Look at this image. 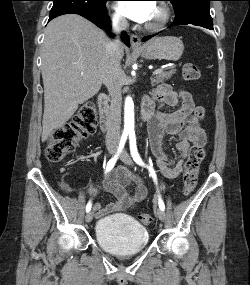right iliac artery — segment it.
<instances>
[{"mask_svg":"<svg viewBox=\"0 0 250 285\" xmlns=\"http://www.w3.org/2000/svg\"><path fill=\"white\" fill-rule=\"evenodd\" d=\"M126 139H127V134H123L122 137H121L120 143H119L118 151L114 155V157H112L109 160V162L107 163L105 173H108L109 171H111L113 169V167L115 166V163H116V161L118 159V156H119V154L122 152V150L124 148ZM91 206H92L91 201H89L88 204L86 205V212H89L91 210Z\"/></svg>","mask_w":250,"mask_h":285,"instance_id":"obj_1","label":"right iliac artery"}]
</instances>
